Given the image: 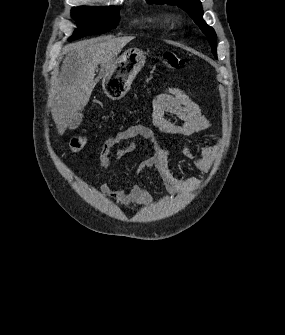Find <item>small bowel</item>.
I'll list each match as a JSON object with an SVG mask.
<instances>
[{"instance_id": "1", "label": "small bowel", "mask_w": 285, "mask_h": 335, "mask_svg": "<svg viewBox=\"0 0 285 335\" xmlns=\"http://www.w3.org/2000/svg\"><path fill=\"white\" fill-rule=\"evenodd\" d=\"M166 114L175 116L181 122L171 121L166 117ZM151 120L159 133L183 138L181 151L185 157L192 161L197 170L201 172L210 170L218 146L216 144L204 145L194 151L188 137L209 128L211 122L204 115L200 105L182 89L170 86L159 93L152 102ZM138 138L150 144L152 153L137 164L135 169L137 175L147 168L157 170L171 196L190 193L201 184L202 180L199 177L184 178L173 172L170 164V148L162 146L156 133L144 124L130 125L108 138L101 147L100 163L104 165L110 161L113 147L121 142L129 141L126 146L119 148L115 153V161L120 162L125 156L137 149ZM100 190L123 206L132 204L146 206L151 200L148 190L138 183L129 188L115 190L108 184L102 183Z\"/></svg>"}]
</instances>
